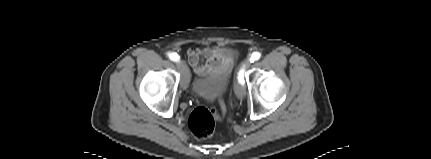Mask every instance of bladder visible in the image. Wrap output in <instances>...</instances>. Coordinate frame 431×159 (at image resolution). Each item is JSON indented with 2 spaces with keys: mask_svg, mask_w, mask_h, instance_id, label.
I'll list each match as a JSON object with an SVG mask.
<instances>
[{
  "mask_svg": "<svg viewBox=\"0 0 431 159\" xmlns=\"http://www.w3.org/2000/svg\"><path fill=\"white\" fill-rule=\"evenodd\" d=\"M231 68L232 66L224 72H216L210 75L197 77L192 84L193 91L201 95L207 101L215 100L227 89Z\"/></svg>",
  "mask_w": 431,
  "mask_h": 159,
  "instance_id": "obj_1",
  "label": "bladder"
}]
</instances>
